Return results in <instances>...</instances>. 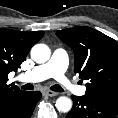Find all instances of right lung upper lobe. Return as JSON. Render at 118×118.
<instances>
[{
  "mask_svg": "<svg viewBox=\"0 0 118 118\" xmlns=\"http://www.w3.org/2000/svg\"><path fill=\"white\" fill-rule=\"evenodd\" d=\"M43 35V31L22 32L0 28V106L26 93L13 83L7 84V76L11 71H17L31 47Z\"/></svg>",
  "mask_w": 118,
  "mask_h": 118,
  "instance_id": "1",
  "label": "right lung upper lobe"
}]
</instances>
